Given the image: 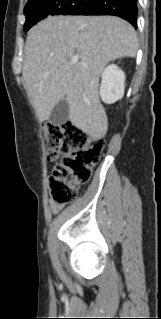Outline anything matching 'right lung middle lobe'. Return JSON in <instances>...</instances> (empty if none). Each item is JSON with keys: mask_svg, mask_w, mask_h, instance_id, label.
<instances>
[{"mask_svg": "<svg viewBox=\"0 0 161 319\" xmlns=\"http://www.w3.org/2000/svg\"><path fill=\"white\" fill-rule=\"evenodd\" d=\"M87 0H28L24 8L26 22L24 30L28 31L40 20L53 15H71L79 10Z\"/></svg>", "mask_w": 161, "mask_h": 319, "instance_id": "1", "label": "right lung middle lobe"}]
</instances>
